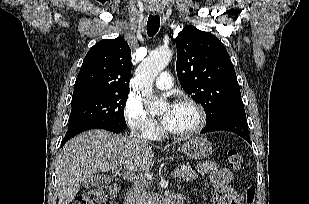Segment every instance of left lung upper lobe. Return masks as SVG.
<instances>
[{"label": "left lung upper lobe", "instance_id": "obj_1", "mask_svg": "<svg viewBox=\"0 0 309 204\" xmlns=\"http://www.w3.org/2000/svg\"><path fill=\"white\" fill-rule=\"evenodd\" d=\"M176 46L181 86L201 103L207 121L226 110L244 108L233 64L217 37L186 25Z\"/></svg>", "mask_w": 309, "mask_h": 204}]
</instances>
